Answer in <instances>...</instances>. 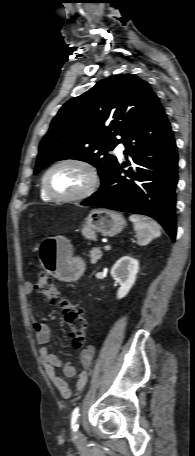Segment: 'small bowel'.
<instances>
[{"instance_id":"small-bowel-1","label":"small bowel","mask_w":195,"mask_h":456,"mask_svg":"<svg viewBox=\"0 0 195 456\" xmlns=\"http://www.w3.org/2000/svg\"><path fill=\"white\" fill-rule=\"evenodd\" d=\"M24 290L27 294L32 292L31 284H26ZM33 330L37 342L41 345L39 349V355L41 362L44 366L45 372L59 391L60 395L63 398H69L71 396V388L66 380L60 377L56 370H62L63 374L67 378H73L77 380L76 388L77 390H82L88 380V374L86 371L78 372L76 368L69 362H65L55 354L51 353L46 345L50 341V329L49 327L42 322H34ZM95 354V347L93 345L88 346L82 353L81 362L84 368L88 369L92 366L93 359Z\"/></svg>"}]
</instances>
